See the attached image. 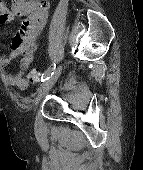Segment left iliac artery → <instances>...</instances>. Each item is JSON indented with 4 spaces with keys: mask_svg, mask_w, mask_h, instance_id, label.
<instances>
[{
    "mask_svg": "<svg viewBox=\"0 0 143 170\" xmlns=\"http://www.w3.org/2000/svg\"><path fill=\"white\" fill-rule=\"evenodd\" d=\"M55 68H56V64L53 63V64L42 74L41 81L44 82V81H46L47 79H49L50 76L53 75Z\"/></svg>",
    "mask_w": 143,
    "mask_h": 170,
    "instance_id": "1",
    "label": "left iliac artery"
}]
</instances>
